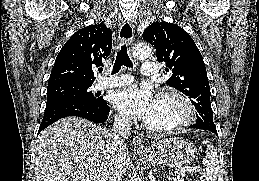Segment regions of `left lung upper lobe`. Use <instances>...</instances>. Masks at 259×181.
Listing matches in <instances>:
<instances>
[{
  "instance_id": "left-lung-upper-lobe-1",
  "label": "left lung upper lobe",
  "mask_w": 259,
  "mask_h": 181,
  "mask_svg": "<svg viewBox=\"0 0 259 181\" xmlns=\"http://www.w3.org/2000/svg\"><path fill=\"white\" fill-rule=\"evenodd\" d=\"M143 39L156 48L159 62L171 73L167 84L182 92L196 109V124L216 129L210 103V86L203 57L195 42L181 27L165 21L152 23Z\"/></svg>"
}]
</instances>
